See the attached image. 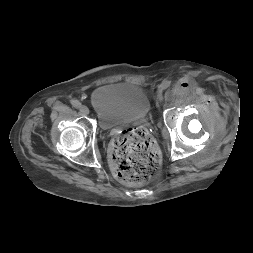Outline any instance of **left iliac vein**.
<instances>
[{"label":"left iliac vein","mask_w":253,"mask_h":253,"mask_svg":"<svg viewBox=\"0 0 253 253\" xmlns=\"http://www.w3.org/2000/svg\"><path fill=\"white\" fill-rule=\"evenodd\" d=\"M158 101H159V102H161V101H162V95H161V93H160V92L158 93Z\"/></svg>","instance_id":"1"}]
</instances>
